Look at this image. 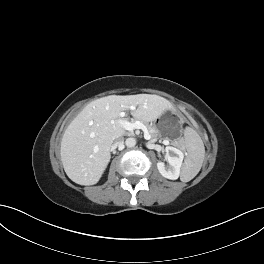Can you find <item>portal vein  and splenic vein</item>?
Instances as JSON below:
<instances>
[{"mask_svg": "<svg viewBox=\"0 0 264 264\" xmlns=\"http://www.w3.org/2000/svg\"><path fill=\"white\" fill-rule=\"evenodd\" d=\"M131 109L134 110L135 107H131ZM120 116L123 117L124 116V112H121ZM119 124L125 130H128V131H133L135 129H141L144 132L145 138L150 139V135H149L147 127L140 121H135L134 123H131V122H128V121H126L124 119H120L119 120ZM164 143L168 144L169 142L168 141H164Z\"/></svg>", "mask_w": 264, "mask_h": 264, "instance_id": "portal-vein-and-splenic-vein-1", "label": "portal vein and splenic vein"}]
</instances>
